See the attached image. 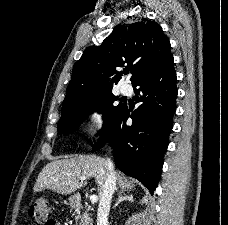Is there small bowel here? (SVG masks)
Wrapping results in <instances>:
<instances>
[{"label": "small bowel", "instance_id": "1", "mask_svg": "<svg viewBox=\"0 0 228 225\" xmlns=\"http://www.w3.org/2000/svg\"><path fill=\"white\" fill-rule=\"evenodd\" d=\"M52 225H60V223L58 221L53 220Z\"/></svg>", "mask_w": 228, "mask_h": 225}]
</instances>
